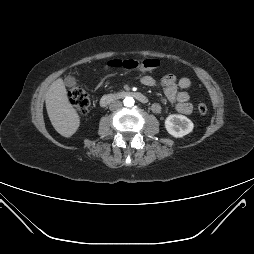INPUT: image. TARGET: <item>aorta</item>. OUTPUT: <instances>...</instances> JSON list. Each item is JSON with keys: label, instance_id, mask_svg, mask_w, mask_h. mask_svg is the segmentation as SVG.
<instances>
[{"label": "aorta", "instance_id": "obj_1", "mask_svg": "<svg viewBox=\"0 0 254 254\" xmlns=\"http://www.w3.org/2000/svg\"><path fill=\"white\" fill-rule=\"evenodd\" d=\"M134 99H133V97H126L125 99H124V105L125 106H127V107H131V106H133L134 105Z\"/></svg>", "mask_w": 254, "mask_h": 254}]
</instances>
